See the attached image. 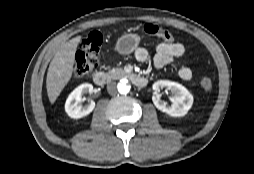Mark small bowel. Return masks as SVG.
Listing matches in <instances>:
<instances>
[{"instance_id": "obj_1", "label": "small bowel", "mask_w": 254, "mask_h": 174, "mask_svg": "<svg viewBox=\"0 0 254 174\" xmlns=\"http://www.w3.org/2000/svg\"><path fill=\"white\" fill-rule=\"evenodd\" d=\"M156 53L152 59L153 65L156 68H161L169 63H172L185 52V47L181 43L160 42L155 46ZM135 58L142 63L149 59L148 51L145 48H137L134 51ZM179 77L184 81H189L192 78V71L188 67H181L178 71Z\"/></svg>"}]
</instances>
